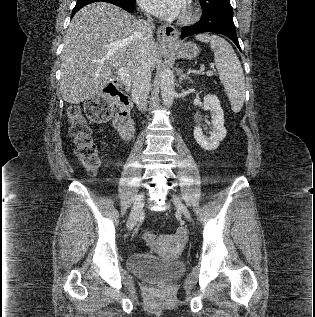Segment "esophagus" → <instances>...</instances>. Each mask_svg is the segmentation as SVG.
<instances>
[{"label": "esophagus", "instance_id": "1", "mask_svg": "<svg viewBox=\"0 0 315 317\" xmlns=\"http://www.w3.org/2000/svg\"><path fill=\"white\" fill-rule=\"evenodd\" d=\"M178 37V30L171 25H161L157 29V39L163 48L171 47Z\"/></svg>", "mask_w": 315, "mask_h": 317}]
</instances>
